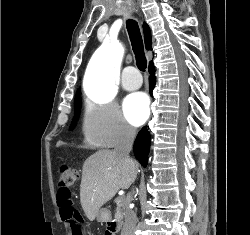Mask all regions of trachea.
Listing matches in <instances>:
<instances>
[{
	"label": "trachea",
	"instance_id": "1",
	"mask_svg": "<svg viewBox=\"0 0 250 235\" xmlns=\"http://www.w3.org/2000/svg\"><path fill=\"white\" fill-rule=\"evenodd\" d=\"M127 31L130 37L132 50L135 54L136 65L141 71H145L147 60L144 53V45L138 23L133 19L126 21Z\"/></svg>",
	"mask_w": 250,
	"mask_h": 235
}]
</instances>
